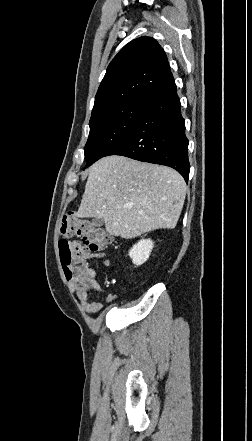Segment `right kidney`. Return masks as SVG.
Segmentation results:
<instances>
[{
    "instance_id": "right-kidney-1",
    "label": "right kidney",
    "mask_w": 252,
    "mask_h": 441,
    "mask_svg": "<svg viewBox=\"0 0 252 441\" xmlns=\"http://www.w3.org/2000/svg\"><path fill=\"white\" fill-rule=\"evenodd\" d=\"M153 249V241L151 239H142L129 251V256L132 262L136 266H140L145 263Z\"/></svg>"
}]
</instances>
